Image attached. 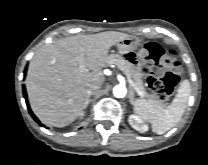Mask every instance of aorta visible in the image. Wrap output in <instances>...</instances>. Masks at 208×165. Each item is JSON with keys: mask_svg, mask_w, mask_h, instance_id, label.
Returning <instances> with one entry per match:
<instances>
[{"mask_svg": "<svg viewBox=\"0 0 208 165\" xmlns=\"http://www.w3.org/2000/svg\"><path fill=\"white\" fill-rule=\"evenodd\" d=\"M127 93V89L124 85L119 84L113 88V94L116 98H123Z\"/></svg>", "mask_w": 208, "mask_h": 165, "instance_id": "aorta-1", "label": "aorta"}]
</instances>
